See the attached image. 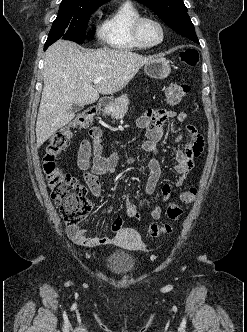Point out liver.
I'll return each instance as SVG.
<instances>
[{"label":"liver","mask_w":247,"mask_h":332,"mask_svg":"<svg viewBox=\"0 0 247 332\" xmlns=\"http://www.w3.org/2000/svg\"><path fill=\"white\" fill-rule=\"evenodd\" d=\"M154 58L107 48L82 52L76 43L66 40L51 45L44 57V87L36 122L37 147L75 117L71 111L73 104H92L99 93L109 95L120 91ZM95 78L102 79L93 85Z\"/></svg>","instance_id":"1"}]
</instances>
